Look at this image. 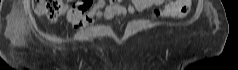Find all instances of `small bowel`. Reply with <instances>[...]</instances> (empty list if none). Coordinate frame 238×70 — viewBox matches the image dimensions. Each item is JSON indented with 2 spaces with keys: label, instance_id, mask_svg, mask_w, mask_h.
<instances>
[{
  "label": "small bowel",
  "instance_id": "c3829d8e",
  "mask_svg": "<svg viewBox=\"0 0 238 70\" xmlns=\"http://www.w3.org/2000/svg\"><path fill=\"white\" fill-rule=\"evenodd\" d=\"M163 0H132L127 4H121L118 1L98 0L92 4L88 0L77 1L67 12V19L75 29H81L87 24L93 23L101 17L111 19L115 16L132 15L135 12L143 11L151 6L161 5ZM178 3L169 2L162 9H155L156 17H173V10Z\"/></svg>",
  "mask_w": 238,
  "mask_h": 70
}]
</instances>
